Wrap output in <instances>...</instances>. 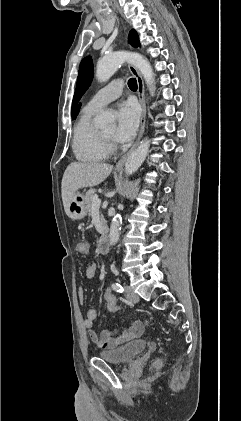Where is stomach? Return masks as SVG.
<instances>
[{
  "label": "stomach",
  "mask_w": 241,
  "mask_h": 421,
  "mask_svg": "<svg viewBox=\"0 0 241 421\" xmlns=\"http://www.w3.org/2000/svg\"><path fill=\"white\" fill-rule=\"evenodd\" d=\"M86 215L85 197L82 193L76 192L69 205V217L72 220H81Z\"/></svg>",
  "instance_id": "obj_1"
}]
</instances>
